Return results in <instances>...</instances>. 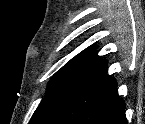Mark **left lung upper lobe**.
I'll return each instance as SVG.
<instances>
[{
  "instance_id": "1",
  "label": "left lung upper lobe",
  "mask_w": 145,
  "mask_h": 124,
  "mask_svg": "<svg viewBox=\"0 0 145 124\" xmlns=\"http://www.w3.org/2000/svg\"><path fill=\"white\" fill-rule=\"evenodd\" d=\"M105 65L97 53L90 51H83L71 59L50 80L30 124H45Z\"/></svg>"
}]
</instances>
